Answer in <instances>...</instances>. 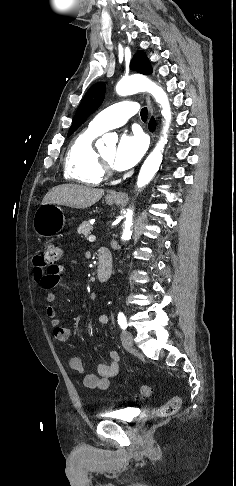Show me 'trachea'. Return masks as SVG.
<instances>
[{
  "mask_svg": "<svg viewBox=\"0 0 236 486\" xmlns=\"http://www.w3.org/2000/svg\"><path fill=\"white\" fill-rule=\"evenodd\" d=\"M140 115H141V119H142V120H146V119H147V108H143V109L141 110Z\"/></svg>",
  "mask_w": 236,
  "mask_h": 486,
  "instance_id": "1",
  "label": "trachea"
}]
</instances>
